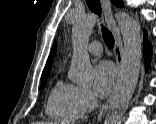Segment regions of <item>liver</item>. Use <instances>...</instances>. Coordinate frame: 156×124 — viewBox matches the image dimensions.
Returning a JSON list of instances; mask_svg holds the SVG:
<instances>
[{"label":"liver","instance_id":"obj_1","mask_svg":"<svg viewBox=\"0 0 156 124\" xmlns=\"http://www.w3.org/2000/svg\"><path fill=\"white\" fill-rule=\"evenodd\" d=\"M34 124H53V123H50V122H47V123H43V122H36Z\"/></svg>","mask_w":156,"mask_h":124}]
</instances>
